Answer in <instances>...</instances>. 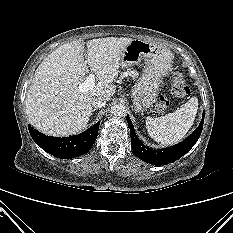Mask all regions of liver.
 Returning a JSON list of instances; mask_svg holds the SVG:
<instances>
[{
  "label": "liver",
  "instance_id": "1",
  "mask_svg": "<svg viewBox=\"0 0 233 233\" xmlns=\"http://www.w3.org/2000/svg\"><path fill=\"white\" fill-rule=\"evenodd\" d=\"M126 37L89 40L87 60L84 42L75 40L61 45L38 66L28 88L25 111L31 125L51 136H69L82 131L92 115V99L110 100L116 91L120 58L132 41ZM90 71L99 82L80 91Z\"/></svg>",
  "mask_w": 233,
  "mask_h": 233
}]
</instances>
